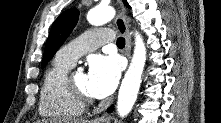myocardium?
Here are the masks:
<instances>
[{
	"mask_svg": "<svg viewBox=\"0 0 221 123\" xmlns=\"http://www.w3.org/2000/svg\"><path fill=\"white\" fill-rule=\"evenodd\" d=\"M66 85L71 93V95L84 107L92 105L95 102V98L92 96L87 95L83 91H81L77 85L73 81V74L67 75L66 77Z\"/></svg>",
	"mask_w": 221,
	"mask_h": 123,
	"instance_id": "1",
	"label": "myocardium"
}]
</instances>
